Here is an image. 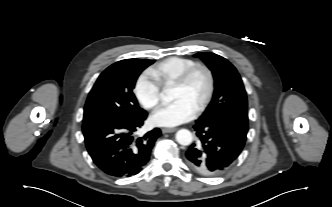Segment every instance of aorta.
Returning a JSON list of instances; mask_svg holds the SVG:
<instances>
[{
  "mask_svg": "<svg viewBox=\"0 0 332 207\" xmlns=\"http://www.w3.org/2000/svg\"><path fill=\"white\" fill-rule=\"evenodd\" d=\"M165 101H171L173 98L170 93L163 96ZM193 140L192 133L187 129H181L176 133V141L181 145H189Z\"/></svg>",
  "mask_w": 332,
  "mask_h": 207,
  "instance_id": "obj_1",
  "label": "aorta"
}]
</instances>
